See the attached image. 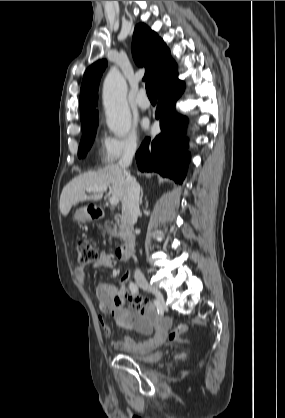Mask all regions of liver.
I'll return each instance as SVG.
<instances>
[{
    "instance_id": "6515ba94",
    "label": "liver",
    "mask_w": 285,
    "mask_h": 418,
    "mask_svg": "<svg viewBox=\"0 0 285 418\" xmlns=\"http://www.w3.org/2000/svg\"><path fill=\"white\" fill-rule=\"evenodd\" d=\"M126 176L117 165L106 166L96 172H87L72 179L62 190L59 208L63 216H67L71 208L86 200H100L103 192L87 195L88 188L111 186L112 197L122 200L125 192Z\"/></svg>"
}]
</instances>
